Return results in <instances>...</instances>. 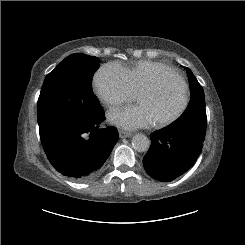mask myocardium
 Here are the masks:
<instances>
[{
	"mask_svg": "<svg viewBox=\"0 0 245 245\" xmlns=\"http://www.w3.org/2000/svg\"><path fill=\"white\" fill-rule=\"evenodd\" d=\"M165 75H173L181 84V87L183 90V103L176 113H174L173 115H171L167 118H164V119H161V120L155 122V125L159 128L167 127V126L175 123L177 120H179L182 117V115L185 113V111L187 110V108L189 106V102H190L189 87H188V84L185 81V79L182 77V75L177 70H175L173 68H169V69L159 73L157 78L163 77ZM160 91H161L160 85H158V84H156V82H154L153 84L144 87L138 93V95L143 94V93H158Z\"/></svg>",
	"mask_w": 245,
	"mask_h": 245,
	"instance_id": "1",
	"label": "myocardium"
}]
</instances>
